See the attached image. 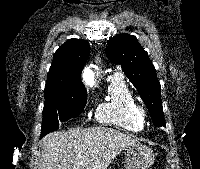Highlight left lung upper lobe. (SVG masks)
<instances>
[{"label": "left lung upper lobe", "mask_w": 200, "mask_h": 169, "mask_svg": "<svg viewBox=\"0 0 200 169\" xmlns=\"http://www.w3.org/2000/svg\"><path fill=\"white\" fill-rule=\"evenodd\" d=\"M107 57L121 66L123 72L138 90L156 126L165 127L160 83L147 52L133 35L119 34L106 47Z\"/></svg>", "instance_id": "left-lung-upper-lobe-1"}]
</instances>
